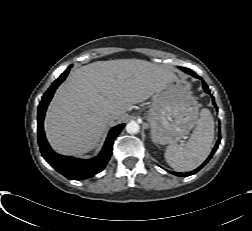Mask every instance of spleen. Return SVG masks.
<instances>
[{"label": "spleen", "mask_w": 252, "mask_h": 231, "mask_svg": "<svg viewBox=\"0 0 252 231\" xmlns=\"http://www.w3.org/2000/svg\"><path fill=\"white\" fill-rule=\"evenodd\" d=\"M213 139L214 120L210 111L204 108L200 112L196 128L186 145L183 148L169 145L164 155L165 160L176 171H192L200 166L210 154Z\"/></svg>", "instance_id": "spleen-1"}]
</instances>
